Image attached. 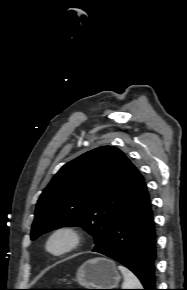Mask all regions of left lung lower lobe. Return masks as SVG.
I'll return each instance as SVG.
<instances>
[{"label": "left lung lower lobe", "instance_id": "left-lung-lower-lobe-1", "mask_svg": "<svg viewBox=\"0 0 187 290\" xmlns=\"http://www.w3.org/2000/svg\"><path fill=\"white\" fill-rule=\"evenodd\" d=\"M130 269L144 290H157L155 279L156 232L146 183L127 199L105 242L93 249Z\"/></svg>", "mask_w": 187, "mask_h": 290}]
</instances>
